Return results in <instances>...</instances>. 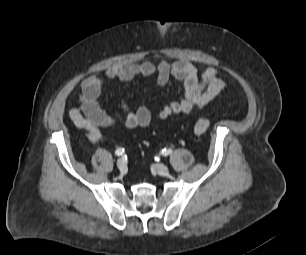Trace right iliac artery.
<instances>
[{
	"mask_svg": "<svg viewBox=\"0 0 306 255\" xmlns=\"http://www.w3.org/2000/svg\"><path fill=\"white\" fill-rule=\"evenodd\" d=\"M124 148L120 147V148H117L116 151H115V155L117 156H120L124 153Z\"/></svg>",
	"mask_w": 306,
	"mask_h": 255,
	"instance_id": "right-iliac-artery-1",
	"label": "right iliac artery"
}]
</instances>
